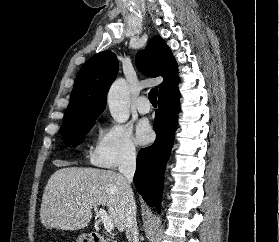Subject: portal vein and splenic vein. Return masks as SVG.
Listing matches in <instances>:
<instances>
[{"label": "portal vein and splenic vein", "mask_w": 279, "mask_h": 242, "mask_svg": "<svg viewBox=\"0 0 279 242\" xmlns=\"http://www.w3.org/2000/svg\"><path fill=\"white\" fill-rule=\"evenodd\" d=\"M97 209V208H95ZM99 216L101 217V221L104 225V228L107 232H111L114 229V223L112 219L107 215L106 211L102 208L99 209L98 211Z\"/></svg>", "instance_id": "1"}]
</instances>
